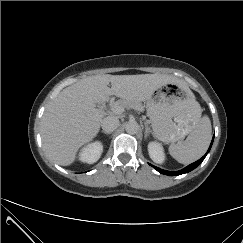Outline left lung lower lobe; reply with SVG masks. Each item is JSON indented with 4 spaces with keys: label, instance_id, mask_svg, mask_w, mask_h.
<instances>
[{
    "label": "left lung lower lobe",
    "instance_id": "obj_1",
    "mask_svg": "<svg viewBox=\"0 0 243 243\" xmlns=\"http://www.w3.org/2000/svg\"><path fill=\"white\" fill-rule=\"evenodd\" d=\"M214 139V137H213ZM212 143H213V140L211 142V145L207 151V153L201 158L199 159L198 161L188 165L187 167H185L184 169L182 170H179V171H166V170H163V169H160L158 167H155L153 166L158 172L162 173V174H165V175H169V176H175V175H180V174H184V173H188L190 171H192L193 169H195L198 165H200V163L204 160V158L206 157V155L208 154V152L210 151V148L212 146ZM152 166V165H151Z\"/></svg>",
    "mask_w": 243,
    "mask_h": 243
}]
</instances>
